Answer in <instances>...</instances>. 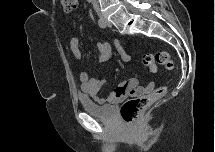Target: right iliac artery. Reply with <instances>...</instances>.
<instances>
[{"label":"right iliac artery","mask_w":215,"mask_h":152,"mask_svg":"<svg viewBox=\"0 0 215 152\" xmlns=\"http://www.w3.org/2000/svg\"><path fill=\"white\" fill-rule=\"evenodd\" d=\"M98 25L101 27V28H106V23L104 20H102L101 18L98 20Z\"/></svg>","instance_id":"82829eb1"}]
</instances>
